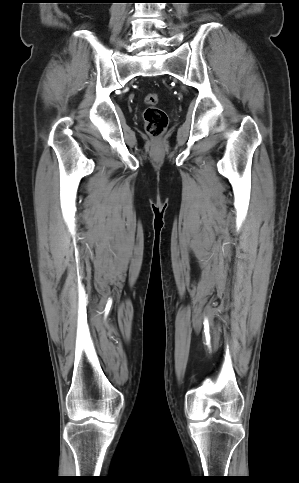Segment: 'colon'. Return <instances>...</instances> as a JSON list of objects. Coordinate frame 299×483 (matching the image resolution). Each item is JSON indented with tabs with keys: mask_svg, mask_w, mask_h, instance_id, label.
<instances>
[{
	"mask_svg": "<svg viewBox=\"0 0 299 483\" xmlns=\"http://www.w3.org/2000/svg\"><path fill=\"white\" fill-rule=\"evenodd\" d=\"M144 100L147 105L144 111L146 131L152 137H160L167 129L168 116L163 109L157 106L159 102L157 93L146 94Z\"/></svg>",
	"mask_w": 299,
	"mask_h": 483,
	"instance_id": "1",
	"label": "colon"
}]
</instances>
